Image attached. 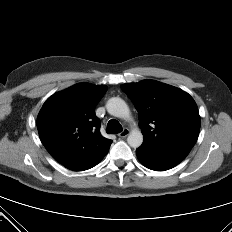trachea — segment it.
Here are the masks:
<instances>
[{"label":"trachea","mask_w":232,"mask_h":232,"mask_svg":"<svg viewBox=\"0 0 232 232\" xmlns=\"http://www.w3.org/2000/svg\"><path fill=\"white\" fill-rule=\"evenodd\" d=\"M120 132H122L121 124L117 120L111 119L107 124V133L108 134H117Z\"/></svg>","instance_id":"3493384b"}]
</instances>
